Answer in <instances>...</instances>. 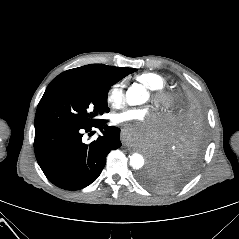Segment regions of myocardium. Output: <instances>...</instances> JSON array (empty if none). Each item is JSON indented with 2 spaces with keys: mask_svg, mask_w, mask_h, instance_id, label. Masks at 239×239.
Wrapping results in <instances>:
<instances>
[{
  "mask_svg": "<svg viewBox=\"0 0 239 239\" xmlns=\"http://www.w3.org/2000/svg\"><path fill=\"white\" fill-rule=\"evenodd\" d=\"M151 99L154 105L162 111V113H169L174 104L175 99L173 95L165 90H152Z\"/></svg>",
  "mask_w": 239,
  "mask_h": 239,
  "instance_id": "1",
  "label": "myocardium"
}]
</instances>
